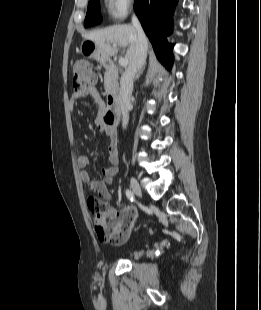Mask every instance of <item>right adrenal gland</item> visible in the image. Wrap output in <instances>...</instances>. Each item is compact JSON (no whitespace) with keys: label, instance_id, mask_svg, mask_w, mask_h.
Instances as JSON below:
<instances>
[{"label":"right adrenal gland","instance_id":"obj_1","mask_svg":"<svg viewBox=\"0 0 261 310\" xmlns=\"http://www.w3.org/2000/svg\"><path fill=\"white\" fill-rule=\"evenodd\" d=\"M144 69H145V66L137 73V75L135 77L136 80L140 78V76L143 73Z\"/></svg>","mask_w":261,"mask_h":310}]
</instances>
